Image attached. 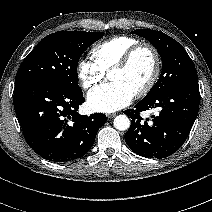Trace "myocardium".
I'll return each mask as SVG.
<instances>
[{
	"instance_id": "f54148a6",
	"label": "myocardium",
	"mask_w": 212,
	"mask_h": 212,
	"mask_svg": "<svg viewBox=\"0 0 212 212\" xmlns=\"http://www.w3.org/2000/svg\"><path fill=\"white\" fill-rule=\"evenodd\" d=\"M142 51H148L153 57V71L148 79V81L135 92L136 97H143L147 93H149L152 88L155 86L161 72V57L157 49L148 43H139L132 48H130L123 57L114 64L108 71V74L112 71H122L127 69L133 62L134 58L137 56L138 53Z\"/></svg>"
}]
</instances>
